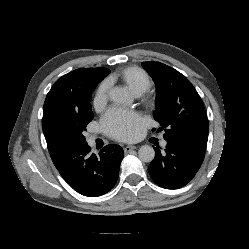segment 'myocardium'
Here are the masks:
<instances>
[{
	"label": "myocardium",
	"instance_id": "f54148a6",
	"mask_svg": "<svg viewBox=\"0 0 249 249\" xmlns=\"http://www.w3.org/2000/svg\"><path fill=\"white\" fill-rule=\"evenodd\" d=\"M143 103L146 107H151L153 105V99L149 96L143 98Z\"/></svg>",
	"mask_w": 249,
	"mask_h": 249
}]
</instances>
